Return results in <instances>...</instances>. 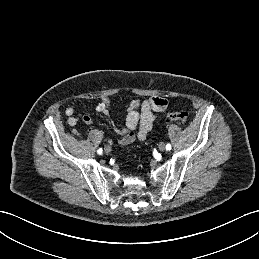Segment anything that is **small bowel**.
<instances>
[{"instance_id":"c3829d8e","label":"small bowel","mask_w":259,"mask_h":259,"mask_svg":"<svg viewBox=\"0 0 259 259\" xmlns=\"http://www.w3.org/2000/svg\"><path fill=\"white\" fill-rule=\"evenodd\" d=\"M167 100L160 96H152L144 100H133L127 107V115L125 127L119 129L121 137L118 143L128 145L136 140H145L148 133L153 127L155 120V112H162L167 107ZM111 102L107 97L102 98L96 105V111L105 115L109 114ZM73 107H67L65 110L66 122L70 126H75L78 119L74 115ZM82 120L86 124L92 123V118L89 115H84Z\"/></svg>"}]
</instances>
